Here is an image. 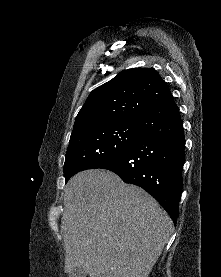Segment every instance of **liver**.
<instances>
[{
    "mask_svg": "<svg viewBox=\"0 0 221 277\" xmlns=\"http://www.w3.org/2000/svg\"><path fill=\"white\" fill-rule=\"evenodd\" d=\"M61 231L66 273L81 267L90 277H148L173 223L143 189L94 169L65 186Z\"/></svg>",
    "mask_w": 221,
    "mask_h": 277,
    "instance_id": "obj_1",
    "label": "liver"
}]
</instances>
